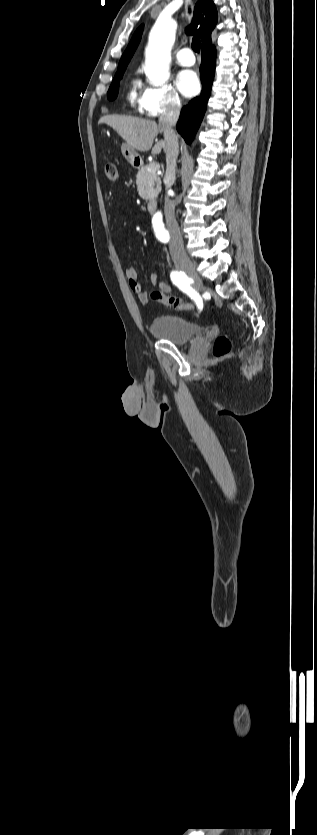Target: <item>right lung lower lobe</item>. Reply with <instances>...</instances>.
<instances>
[{"label": "right lung lower lobe", "instance_id": "98d812e1", "mask_svg": "<svg viewBox=\"0 0 317 835\" xmlns=\"http://www.w3.org/2000/svg\"><path fill=\"white\" fill-rule=\"evenodd\" d=\"M201 50L202 64L200 66V78L203 89L199 96L192 99L187 106L183 107L177 124V131L187 143H191L193 140L204 116L216 67V49L212 45L211 39L202 44Z\"/></svg>", "mask_w": 317, "mask_h": 835}]
</instances>
